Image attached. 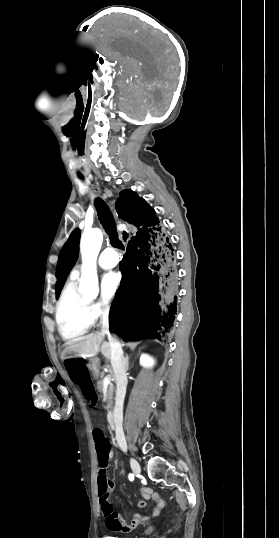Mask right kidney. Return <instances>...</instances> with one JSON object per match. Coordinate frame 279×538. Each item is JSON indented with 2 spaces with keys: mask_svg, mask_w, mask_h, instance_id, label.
Instances as JSON below:
<instances>
[{
  "mask_svg": "<svg viewBox=\"0 0 279 538\" xmlns=\"http://www.w3.org/2000/svg\"><path fill=\"white\" fill-rule=\"evenodd\" d=\"M140 364L141 366H144V368H152L155 362L153 358H150V356H148V354H142L140 358Z\"/></svg>",
  "mask_w": 279,
  "mask_h": 538,
  "instance_id": "right-kidney-1",
  "label": "right kidney"
}]
</instances>
